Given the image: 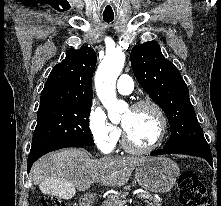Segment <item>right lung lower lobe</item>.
Returning a JSON list of instances; mask_svg holds the SVG:
<instances>
[{"label": "right lung lower lobe", "mask_w": 221, "mask_h": 206, "mask_svg": "<svg viewBox=\"0 0 221 206\" xmlns=\"http://www.w3.org/2000/svg\"><path fill=\"white\" fill-rule=\"evenodd\" d=\"M86 145H81V144H67V145H62V146H57V147H53V148H49V149H45L39 152H35V153H31L28 156V160H27V171L28 173L30 172L31 166L33 165V163L39 159L41 156H43L44 154L57 150V149H61V148H66V147H85Z\"/></svg>", "instance_id": "98d812e1"}]
</instances>
